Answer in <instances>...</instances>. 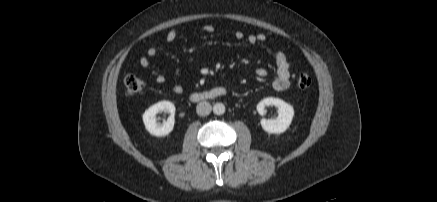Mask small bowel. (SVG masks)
<instances>
[{"label": "small bowel", "mask_w": 437, "mask_h": 202, "mask_svg": "<svg viewBox=\"0 0 437 202\" xmlns=\"http://www.w3.org/2000/svg\"><path fill=\"white\" fill-rule=\"evenodd\" d=\"M203 31L206 33H213L215 28L212 25H205ZM233 36L237 40L244 39L245 35L242 31H235ZM178 37V32L175 29H171L165 36V43L171 44ZM267 40V37L263 33L258 34H250L247 37V42L251 45L262 44ZM159 47L157 45L150 46L146 54L142 56L139 60L140 66L146 70H148L153 76L154 80L158 84H163L165 82V76L154 69L151 65V60L155 58L158 54ZM275 62H276V75L273 80V88L277 91H285L290 87V76H291V68L292 64L286 55L282 51H276L274 54ZM256 75L259 77H265L267 75V70L264 68H258L256 70ZM172 91L174 93H181L183 91L182 86L175 84L172 86Z\"/></svg>", "instance_id": "c3829d8e"}]
</instances>
